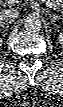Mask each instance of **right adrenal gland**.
Listing matches in <instances>:
<instances>
[{"label":"right adrenal gland","mask_w":63,"mask_h":107,"mask_svg":"<svg viewBox=\"0 0 63 107\" xmlns=\"http://www.w3.org/2000/svg\"><path fill=\"white\" fill-rule=\"evenodd\" d=\"M1 29H7L8 26L0 25Z\"/></svg>","instance_id":"1"}]
</instances>
